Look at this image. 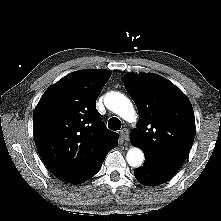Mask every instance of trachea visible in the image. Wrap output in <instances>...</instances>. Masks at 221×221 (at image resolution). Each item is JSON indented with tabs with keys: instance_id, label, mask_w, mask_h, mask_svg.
<instances>
[{
	"instance_id": "obj_1",
	"label": "trachea",
	"mask_w": 221,
	"mask_h": 221,
	"mask_svg": "<svg viewBox=\"0 0 221 221\" xmlns=\"http://www.w3.org/2000/svg\"><path fill=\"white\" fill-rule=\"evenodd\" d=\"M108 128L114 131L119 130L121 128V121L116 117H112L108 121Z\"/></svg>"
}]
</instances>
